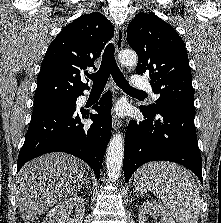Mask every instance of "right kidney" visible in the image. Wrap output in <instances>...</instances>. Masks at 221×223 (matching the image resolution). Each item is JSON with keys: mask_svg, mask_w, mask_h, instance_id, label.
<instances>
[{"mask_svg": "<svg viewBox=\"0 0 221 223\" xmlns=\"http://www.w3.org/2000/svg\"><path fill=\"white\" fill-rule=\"evenodd\" d=\"M73 208H75V214L70 217ZM84 210V199L75 195L52 208L42 223H82Z\"/></svg>", "mask_w": 221, "mask_h": 223, "instance_id": "1", "label": "right kidney"}]
</instances>
